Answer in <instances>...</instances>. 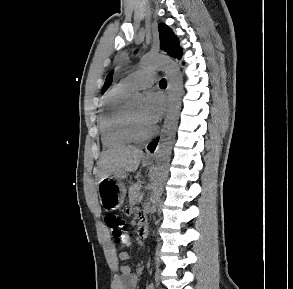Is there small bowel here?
Returning a JSON list of instances; mask_svg holds the SVG:
<instances>
[{
  "label": "small bowel",
  "mask_w": 293,
  "mask_h": 289,
  "mask_svg": "<svg viewBox=\"0 0 293 289\" xmlns=\"http://www.w3.org/2000/svg\"><path fill=\"white\" fill-rule=\"evenodd\" d=\"M125 245H130V237L127 235L124 242ZM121 261H128L130 254L126 250L120 251L118 255ZM138 283L137 276L133 273L132 269L128 265H122L120 267V275L116 280V289H135Z\"/></svg>",
  "instance_id": "1"
}]
</instances>
